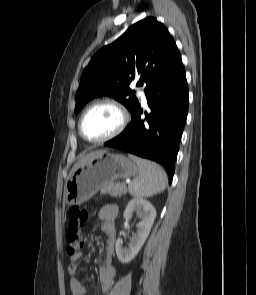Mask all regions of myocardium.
<instances>
[{"label":"myocardium","mask_w":256,"mask_h":295,"mask_svg":"<svg viewBox=\"0 0 256 295\" xmlns=\"http://www.w3.org/2000/svg\"><path fill=\"white\" fill-rule=\"evenodd\" d=\"M100 105H110L113 108H115L118 111L119 115H120V122H119V125L117 126V128L111 134L107 135L106 137H103V138L97 139V140L89 139L84 134V131H83V123H84V120H85L87 114L92 109H94L95 107L100 106ZM128 120H129L128 112L123 107V105L121 103H119L117 100H114L112 98H102V99H99V100L93 102L83 112V114H82V116L80 118V122H79V132H80V135L82 136V138L85 141H87L89 143H92V144H102V143H105V142H107V141H109V140L117 137L118 135H120L123 132V130L125 129V127H126V125L128 123Z\"/></svg>","instance_id":"myocardium-1"}]
</instances>
